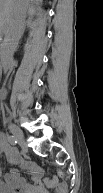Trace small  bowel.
<instances>
[{
  "mask_svg": "<svg viewBox=\"0 0 103 193\" xmlns=\"http://www.w3.org/2000/svg\"><path fill=\"white\" fill-rule=\"evenodd\" d=\"M0 151L8 163L29 172L33 181L29 183L20 174L19 168H11L4 174L1 193H66L65 183H60L55 177L44 180L42 168L32 161L22 159L18 151L9 146L4 135L0 136Z\"/></svg>",
  "mask_w": 103,
  "mask_h": 193,
  "instance_id": "obj_1",
  "label": "small bowel"
}]
</instances>
